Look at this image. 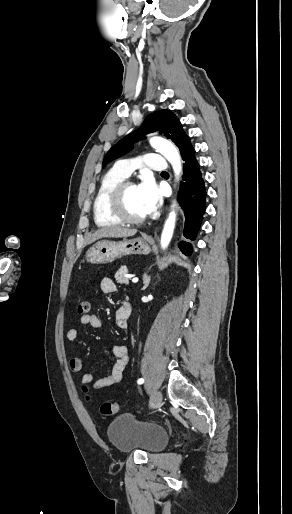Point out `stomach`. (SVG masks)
Wrapping results in <instances>:
<instances>
[{
	"label": "stomach",
	"mask_w": 292,
	"mask_h": 514,
	"mask_svg": "<svg viewBox=\"0 0 292 514\" xmlns=\"http://www.w3.org/2000/svg\"><path fill=\"white\" fill-rule=\"evenodd\" d=\"M151 248L143 238L123 240V242H110L101 240L97 242L89 254H86L87 262L91 264H110L122 256L130 254H150Z\"/></svg>",
	"instance_id": "stomach-1"
}]
</instances>
